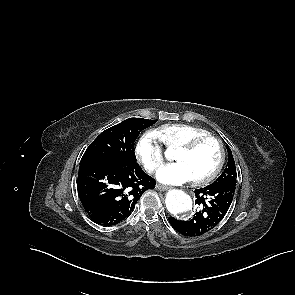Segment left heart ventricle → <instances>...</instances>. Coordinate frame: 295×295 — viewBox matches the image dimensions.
Instances as JSON below:
<instances>
[{
	"label": "left heart ventricle",
	"instance_id": "obj_1",
	"mask_svg": "<svg viewBox=\"0 0 295 295\" xmlns=\"http://www.w3.org/2000/svg\"><path fill=\"white\" fill-rule=\"evenodd\" d=\"M219 147L214 140H206L190 153L177 151L175 160L185 163L195 178L210 174L219 161Z\"/></svg>",
	"mask_w": 295,
	"mask_h": 295
}]
</instances>
